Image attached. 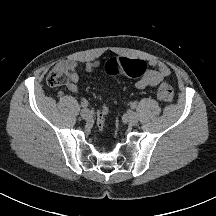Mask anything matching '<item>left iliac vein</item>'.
<instances>
[{
	"mask_svg": "<svg viewBox=\"0 0 216 216\" xmlns=\"http://www.w3.org/2000/svg\"><path fill=\"white\" fill-rule=\"evenodd\" d=\"M126 117L130 124L135 125L138 123V115L134 111L128 112Z\"/></svg>",
	"mask_w": 216,
	"mask_h": 216,
	"instance_id": "obj_1",
	"label": "left iliac vein"
}]
</instances>
